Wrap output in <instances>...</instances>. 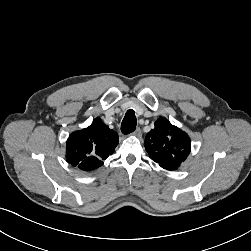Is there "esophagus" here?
<instances>
[{
	"label": "esophagus",
	"mask_w": 251,
	"mask_h": 251,
	"mask_svg": "<svg viewBox=\"0 0 251 251\" xmlns=\"http://www.w3.org/2000/svg\"><path fill=\"white\" fill-rule=\"evenodd\" d=\"M132 135H134L136 137H140L142 135L141 129L140 128H136L135 131L132 133Z\"/></svg>",
	"instance_id": "obj_1"
}]
</instances>
